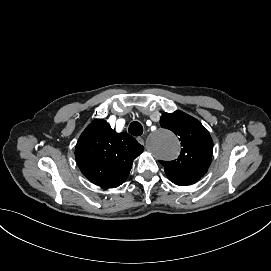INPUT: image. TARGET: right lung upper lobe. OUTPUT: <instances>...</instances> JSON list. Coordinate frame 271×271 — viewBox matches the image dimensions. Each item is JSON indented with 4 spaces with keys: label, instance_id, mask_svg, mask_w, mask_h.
Segmentation results:
<instances>
[{
    "label": "right lung upper lobe",
    "instance_id": "obj_1",
    "mask_svg": "<svg viewBox=\"0 0 271 271\" xmlns=\"http://www.w3.org/2000/svg\"><path fill=\"white\" fill-rule=\"evenodd\" d=\"M143 150L128 133H116L106 121L96 119L81 134L75 157L81 172L92 183L114 188L125 182L133 160Z\"/></svg>",
    "mask_w": 271,
    "mask_h": 271
}]
</instances>
